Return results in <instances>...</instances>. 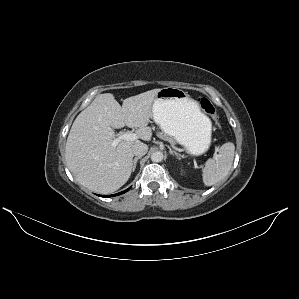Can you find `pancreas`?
I'll return each instance as SVG.
<instances>
[{
	"instance_id": "pancreas-1",
	"label": "pancreas",
	"mask_w": 299,
	"mask_h": 299,
	"mask_svg": "<svg viewBox=\"0 0 299 299\" xmlns=\"http://www.w3.org/2000/svg\"><path fill=\"white\" fill-rule=\"evenodd\" d=\"M157 136L163 140L168 141L171 145L175 144V140L172 137H169L164 133L159 132V133H157Z\"/></svg>"
}]
</instances>
